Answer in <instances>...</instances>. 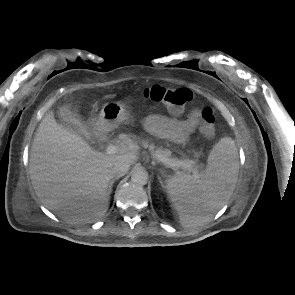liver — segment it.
<instances>
[{
    "label": "liver",
    "mask_w": 295,
    "mask_h": 295,
    "mask_svg": "<svg viewBox=\"0 0 295 295\" xmlns=\"http://www.w3.org/2000/svg\"><path fill=\"white\" fill-rule=\"evenodd\" d=\"M138 147L129 144L116 155L92 149L80 136L46 113L32 144L30 175L41 202L67 221L101 218L109 207L112 168L118 161L134 164Z\"/></svg>",
    "instance_id": "liver-1"
}]
</instances>
